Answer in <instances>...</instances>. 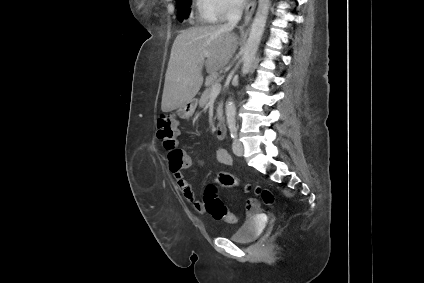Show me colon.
<instances>
[{
  "label": "colon",
  "instance_id": "1",
  "mask_svg": "<svg viewBox=\"0 0 424 283\" xmlns=\"http://www.w3.org/2000/svg\"><path fill=\"white\" fill-rule=\"evenodd\" d=\"M157 136L163 144V147L168 152L169 168L172 172H177L189 166L187 154L177 147L178 127L177 120L173 115H162L157 120ZM243 185L246 191L251 189L249 184H243L234 175L227 172H220L215 183L207 186L203 201L205 211L216 220H225L228 223H236L237 217L230 213L223 202L217 196V186L225 188H233ZM256 192L261 195L266 204H271L274 200L272 193L268 190L256 189ZM258 207L256 200L251 199L247 202L248 213H253Z\"/></svg>",
  "mask_w": 424,
  "mask_h": 283
}]
</instances>
